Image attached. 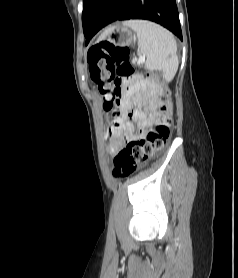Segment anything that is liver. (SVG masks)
I'll use <instances>...</instances> for the list:
<instances>
[{"instance_id": "liver-1", "label": "liver", "mask_w": 238, "mask_h": 278, "mask_svg": "<svg viewBox=\"0 0 238 278\" xmlns=\"http://www.w3.org/2000/svg\"><path fill=\"white\" fill-rule=\"evenodd\" d=\"M102 37H105V32L102 34Z\"/></svg>"}]
</instances>
